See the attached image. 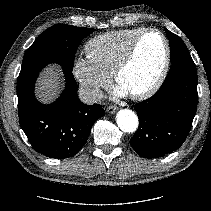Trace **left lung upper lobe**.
<instances>
[{
  "label": "left lung upper lobe",
  "mask_w": 211,
  "mask_h": 211,
  "mask_svg": "<svg viewBox=\"0 0 211 211\" xmlns=\"http://www.w3.org/2000/svg\"><path fill=\"white\" fill-rule=\"evenodd\" d=\"M165 32L168 35V38L175 37L178 40L177 44L170 45V61L171 62L177 59L179 56L190 55L188 48L186 47V45L184 44V42L179 36L173 34L167 29H165Z\"/></svg>",
  "instance_id": "5c2ea615"
}]
</instances>
